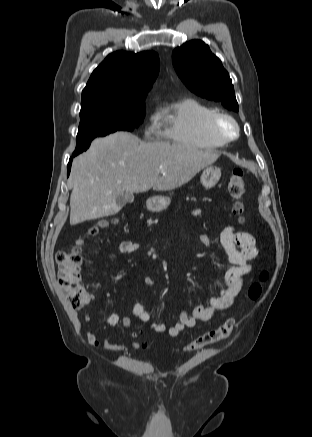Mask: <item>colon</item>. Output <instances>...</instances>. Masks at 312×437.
Listing matches in <instances>:
<instances>
[{
    "label": "colon",
    "mask_w": 312,
    "mask_h": 437,
    "mask_svg": "<svg viewBox=\"0 0 312 437\" xmlns=\"http://www.w3.org/2000/svg\"><path fill=\"white\" fill-rule=\"evenodd\" d=\"M244 172L240 168L234 169L228 185L230 197L233 200V211L239 217L242 218L245 213V205L243 202L244 195ZM105 223H101L96 227L91 228L90 235H94L98 232L100 227H103ZM81 245L82 241L78 240L73 245L60 250L56 255V261L58 263V279L59 285L68 300L69 305L74 309H80L89 302V294L85 289L81 281ZM269 273L262 271L259 275L258 281L253 282L248 289V297L251 300H257L260 298L263 285L267 282ZM235 321L232 318L227 319L219 327L205 332L188 346V351H197L203 347L220 342L230 336L233 331Z\"/></svg>",
    "instance_id": "5ec220e1"
}]
</instances>
